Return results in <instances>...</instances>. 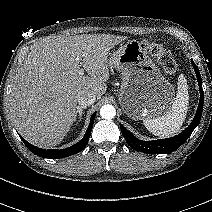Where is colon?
<instances>
[{
    "instance_id": "1",
    "label": "colon",
    "mask_w": 212,
    "mask_h": 212,
    "mask_svg": "<svg viewBox=\"0 0 212 212\" xmlns=\"http://www.w3.org/2000/svg\"><path fill=\"white\" fill-rule=\"evenodd\" d=\"M142 48L151 57H153L168 74L175 73L177 69V62L173 57L171 51L162 44L154 42H143Z\"/></svg>"
}]
</instances>
